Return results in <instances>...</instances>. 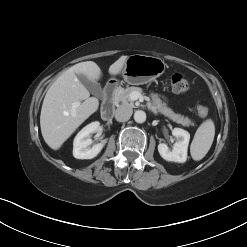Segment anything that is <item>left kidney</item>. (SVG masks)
Instances as JSON below:
<instances>
[{
  "label": "left kidney",
  "mask_w": 247,
  "mask_h": 247,
  "mask_svg": "<svg viewBox=\"0 0 247 247\" xmlns=\"http://www.w3.org/2000/svg\"><path fill=\"white\" fill-rule=\"evenodd\" d=\"M172 135L177 139L172 150H170L166 144L160 143L158 145V152L166 161L184 163L187 160L190 134L181 128H174Z\"/></svg>",
  "instance_id": "5707ae66"
}]
</instances>
